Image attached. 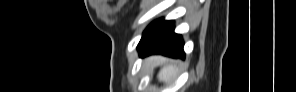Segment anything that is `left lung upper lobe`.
Segmentation results:
<instances>
[{"mask_svg": "<svg viewBox=\"0 0 296 92\" xmlns=\"http://www.w3.org/2000/svg\"><path fill=\"white\" fill-rule=\"evenodd\" d=\"M155 23H156V21L152 22V23L146 28V30L143 32V35H142L141 40H142L143 38H145V36H146V35L149 33V31L153 28V26H154Z\"/></svg>", "mask_w": 296, "mask_h": 92, "instance_id": "left-lung-upper-lobe-1", "label": "left lung upper lobe"}]
</instances>
